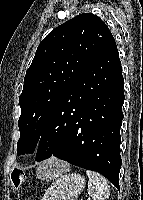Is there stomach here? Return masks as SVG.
<instances>
[{"mask_svg":"<svg viewBox=\"0 0 143 200\" xmlns=\"http://www.w3.org/2000/svg\"><path fill=\"white\" fill-rule=\"evenodd\" d=\"M50 168L56 171L59 167L51 164ZM62 172L51 178L53 182L42 200H76L81 194L85 187L84 177L78 173Z\"/></svg>","mask_w":143,"mask_h":200,"instance_id":"0dacf381","label":"stomach"}]
</instances>
